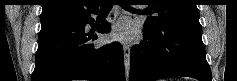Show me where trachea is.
I'll use <instances>...</instances> for the list:
<instances>
[{
  "label": "trachea",
  "instance_id": "obj_1",
  "mask_svg": "<svg viewBox=\"0 0 237 81\" xmlns=\"http://www.w3.org/2000/svg\"><path fill=\"white\" fill-rule=\"evenodd\" d=\"M113 3H114V2H112V1H103V2L101 3V9H102V10L110 9V8L112 7ZM119 5H120L122 8L132 9V10H133V8H131L129 4H126V2H120Z\"/></svg>",
  "mask_w": 237,
  "mask_h": 81
}]
</instances>
